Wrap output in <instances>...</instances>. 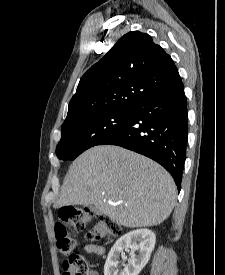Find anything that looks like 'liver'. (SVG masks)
Returning <instances> with one entry per match:
<instances>
[{"label":"liver","instance_id":"obj_1","mask_svg":"<svg viewBox=\"0 0 225 275\" xmlns=\"http://www.w3.org/2000/svg\"><path fill=\"white\" fill-rule=\"evenodd\" d=\"M171 175L153 160L119 146H95L71 164L54 208L94 206L129 228L162 223L176 199Z\"/></svg>","mask_w":225,"mask_h":275}]
</instances>
